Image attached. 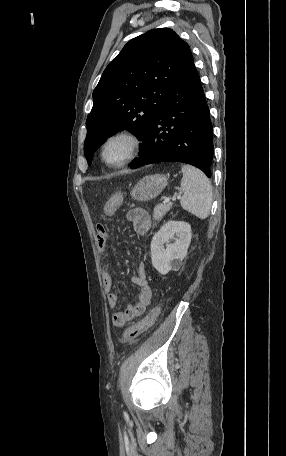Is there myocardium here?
I'll return each instance as SVG.
<instances>
[{
    "label": "myocardium",
    "instance_id": "obj_1",
    "mask_svg": "<svg viewBox=\"0 0 286 456\" xmlns=\"http://www.w3.org/2000/svg\"><path fill=\"white\" fill-rule=\"evenodd\" d=\"M119 137L128 138L132 142L131 153L129 154V156L127 158H125L121 162L110 163L105 159L106 147L113 139H116ZM143 144H144V140L138 131L131 129V128H125V129L118 130V131L112 133L111 135H109L106 138V140L103 142L102 147H101V159L107 166L112 167V168H119V167L125 166L139 155L140 151L143 148Z\"/></svg>",
    "mask_w": 286,
    "mask_h": 456
}]
</instances>
